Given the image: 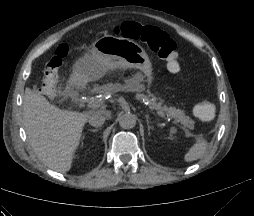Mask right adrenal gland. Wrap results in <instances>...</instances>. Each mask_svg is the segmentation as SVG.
Here are the masks:
<instances>
[{
    "instance_id": "obj_1",
    "label": "right adrenal gland",
    "mask_w": 254,
    "mask_h": 216,
    "mask_svg": "<svg viewBox=\"0 0 254 216\" xmlns=\"http://www.w3.org/2000/svg\"><path fill=\"white\" fill-rule=\"evenodd\" d=\"M90 131H92V132H97L98 129H91Z\"/></svg>"
}]
</instances>
